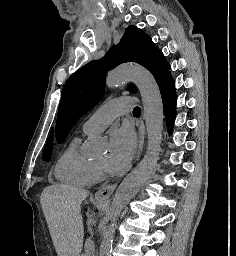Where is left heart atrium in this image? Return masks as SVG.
Masks as SVG:
<instances>
[{
  "mask_svg": "<svg viewBox=\"0 0 236 256\" xmlns=\"http://www.w3.org/2000/svg\"><path fill=\"white\" fill-rule=\"evenodd\" d=\"M136 138L132 129L122 127L110 135V147L106 157V166L111 172L121 171L133 156Z\"/></svg>",
  "mask_w": 236,
  "mask_h": 256,
  "instance_id": "left-heart-atrium-1",
  "label": "left heart atrium"
}]
</instances>
